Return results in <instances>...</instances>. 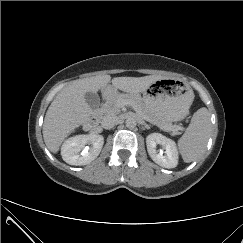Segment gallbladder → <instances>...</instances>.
Masks as SVG:
<instances>
[{
    "label": "gallbladder",
    "mask_w": 243,
    "mask_h": 243,
    "mask_svg": "<svg viewBox=\"0 0 243 243\" xmlns=\"http://www.w3.org/2000/svg\"><path fill=\"white\" fill-rule=\"evenodd\" d=\"M85 100L91 109H96L100 103V97L97 93L87 92Z\"/></svg>",
    "instance_id": "obj_1"
}]
</instances>
